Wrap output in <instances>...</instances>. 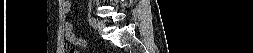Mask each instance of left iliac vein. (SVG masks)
I'll use <instances>...</instances> for the list:
<instances>
[{
    "label": "left iliac vein",
    "instance_id": "obj_1",
    "mask_svg": "<svg viewBox=\"0 0 253 53\" xmlns=\"http://www.w3.org/2000/svg\"><path fill=\"white\" fill-rule=\"evenodd\" d=\"M103 27H104V24L102 22H98L97 29H98L99 32L102 31Z\"/></svg>",
    "mask_w": 253,
    "mask_h": 53
}]
</instances>
